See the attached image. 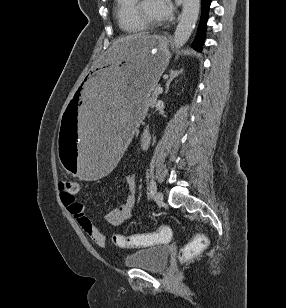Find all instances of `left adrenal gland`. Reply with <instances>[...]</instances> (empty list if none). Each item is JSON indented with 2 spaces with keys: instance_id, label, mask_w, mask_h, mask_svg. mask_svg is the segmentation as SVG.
<instances>
[{
  "instance_id": "a2214340",
  "label": "left adrenal gland",
  "mask_w": 286,
  "mask_h": 308,
  "mask_svg": "<svg viewBox=\"0 0 286 308\" xmlns=\"http://www.w3.org/2000/svg\"><path fill=\"white\" fill-rule=\"evenodd\" d=\"M182 73V69L179 71H175L173 69H171L170 71V78L168 79L167 83H166V90H165V94L168 93L169 88H170V84L173 81V79H175L176 77H178L180 74Z\"/></svg>"
}]
</instances>
